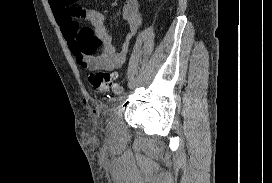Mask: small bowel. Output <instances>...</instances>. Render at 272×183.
Listing matches in <instances>:
<instances>
[{
	"label": "small bowel",
	"mask_w": 272,
	"mask_h": 183,
	"mask_svg": "<svg viewBox=\"0 0 272 183\" xmlns=\"http://www.w3.org/2000/svg\"><path fill=\"white\" fill-rule=\"evenodd\" d=\"M49 3L70 51L83 67L94 64L110 71L123 67L131 39L143 25L138 0H124L121 16L128 24L129 32L119 51L112 43L101 12L85 9L76 0H49ZM81 21H86L89 26L82 25Z\"/></svg>",
	"instance_id": "obj_1"
}]
</instances>
